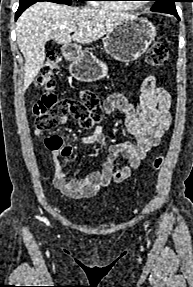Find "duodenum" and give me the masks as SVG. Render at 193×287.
I'll return each instance as SVG.
<instances>
[{"label": "duodenum", "instance_id": "duodenum-1", "mask_svg": "<svg viewBox=\"0 0 193 287\" xmlns=\"http://www.w3.org/2000/svg\"><path fill=\"white\" fill-rule=\"evenodd\" d=\"M64 55L66 57H73L76 55V49L74 47H66L64 50Z\"/></svg>", "mask_w": 193, "mask_h": 287}]
</instances>
